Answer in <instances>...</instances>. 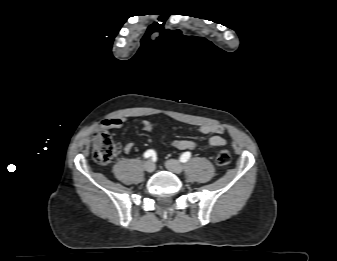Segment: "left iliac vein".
Returning a JSON list of instances; mask_svg holds the SVG:
<instances>
[{
    "label": "left iliac vein",
    "instance_id": "4c4485c4",
    "mask_svg": "<svg viewBox=\"0 0 337 261\" xmlns=\"http://www.w3.org/2000/svg\"><path fill=\"white\" fill-rule=\"evenodd\" d=\"M165 166L169 171L175 174H181L183 171V165L174 159L166 161Z\"/></svg>",
    "mask_w": 337,
    "mask_h": 261
}]
</instances>
